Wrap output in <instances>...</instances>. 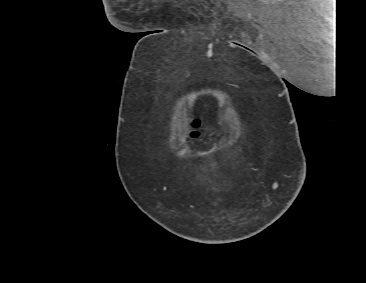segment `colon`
Wrapping results in <instances>:
<instances>
[{"label": "colon", "instance_id": "colon-1", "mask_svg": "<svg viewBox=\"0 0 366 283\" xmlns=\"http://www.w3.org/2000/svg\"><path fill=\"white\" fill-rule=\"evenodd\" d=\"M199 121L198 120H193L192 122H191V127H192V132H191V136L192 137H195V136H197L198 135V127H199Z\"/></svg>", "mask_w": 366, "mask_h": 283}]
</instances>
